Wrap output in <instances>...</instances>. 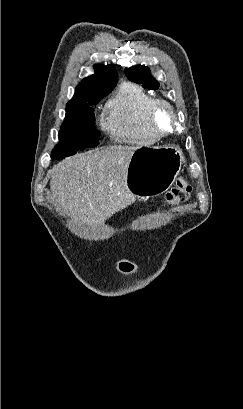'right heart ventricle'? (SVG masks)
<instances>
[{"label":"right heart ventricle","instance_id":"obj_1","mask_svg":"<svg viewBox=\"0 0 243 409\" xmlns=\"http://www.w3.org/2000/svg\"><path fill=\"white\" fill-rule=\"evenodd\" d=\"M153 96L141 86L124 82L107 102L103 125L116 140L125 143L151 145L158 138L147 124V110Z\"/></svg>","mask_w":243,"mask_h":409}]
</instances>
